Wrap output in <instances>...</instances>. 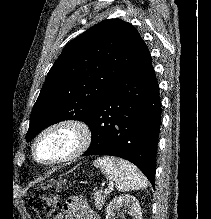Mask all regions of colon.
I'll list each match as a JSON object with an SVG mask.
<instances>
[{
  "mask_svg": "<svg viewBox=\"0 0 211 219\" xmlns=\"http://www.w3.org/2000/svg\"><path fill=\"white\" fill-rule=\"evenodd\" d=\"M30 207L40 219H49L58 209L59 203L53 196L36 195L30 199Z\"/></svg>",
  "mask_w": 211,
  "mask_h": 219,
  "instance_id": "1",
  "label": "colon"
}]
</instances>
